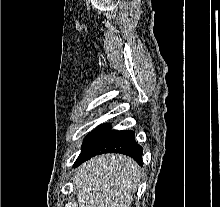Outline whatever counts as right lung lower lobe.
<instances>
[{
  "instance_id": "right-lung-lower-lobe-1",
  "label": "right lung lower lobe",
  "mask_w": 220,
  "mask_h": 207,
  "mask_svg": "<svg viewBox=\"0 0 220 207\" xmlns=\"http://www.w3.org/2000/svg\"><path fill=\"white\" fill-rule=\"evenodd\" d=\"M109 152L129 155L142 164L143 150L136 143L133 131L110 130L108 125H100L85 137L82 151L75 161L74 167L95 155Z\"/></svg>"
}]
</instances>
